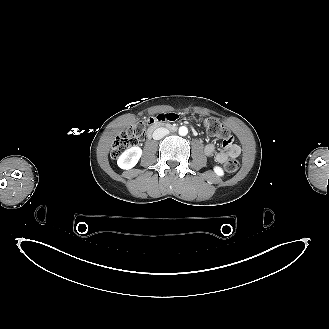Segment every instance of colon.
<instances>
[{
  "mask_svg": "<svg viewBox=\"0 0 329 329\" xmlns=\"http://www.w3.org/2000/svg\"><path fill=\"white\" fill-rule=\"evenodd\" d=\"M156 116L143 121H138L133 125H131L129 128H127L126 130H124L123 132H121L117 136L113 144L112 156L114 158H117L125 149L133 146L136 143V141L140 139L147 131V129L151 126ZM202 122L207 132L212 136H216L222 139L224 145H229L232 143L233 137L231 133L226 128V126L223 125L221 122L210 118L204 119ZM239 166H240L239 160L235 157L229 158L225 163V168L229 172L237 171L239 169Z\"/></svg>",
  "mask_w": 329,
  "mask_h": 329,
  "instance_id": "colon-1",
  "label": "colon"
}]
</instances>
